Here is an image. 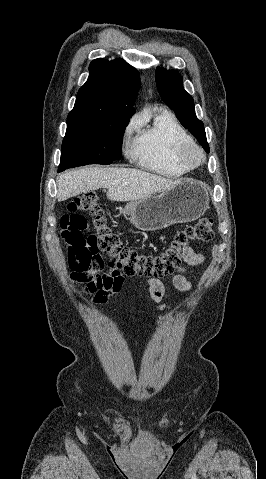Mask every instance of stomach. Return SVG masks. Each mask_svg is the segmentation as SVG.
I'll list each match as a JSON object with an SVG mask.
<instances>
[{
  "label": "stomach",
  "mask_w": 266,
  "mask_h": 479,
  "mask_svg": "<svg viewBox=\"0 0 266 479\" xmlns=\"http://www.w3.org/2000/svg\"><path fill=\"white\" fill-rule=\"evenodd\" d=\"M208 208L206 187L198 181L188 180L159 194L129 202L123 213L139 230L156 231L172 224L194 221Z\"/></svg>",
  "instance_id": "obj_1"
}]
</instances>
